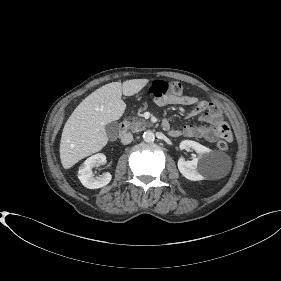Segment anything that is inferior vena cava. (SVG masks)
<instances>
[{"label":"inferior vena cava","mask_w":281,"mask_h":281,"mask_svg":"<svg viewBox=\"0 0 281 281\" xmlns=\"http://www.w3.org/2000/svg\"><path fill=\"white\" fill-rule=\"evenodd\" d=\"M120 138H121L122 144L127 145L132 142L133 135L131 133H124L123 135H121Z\"/></svg>","instance_id":"1"}]
</instances>
